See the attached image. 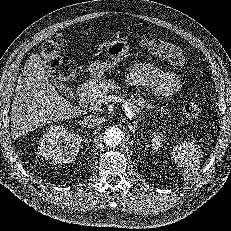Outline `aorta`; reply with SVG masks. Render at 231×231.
I'll use <instances>...</instances> for the list:
<instances>
[{
	"label": "aorta",
	"instance_id": "1",
	"mask_svg": "<svg viewBox=\"0 0 231 231\" xmlns=\"http://www.w3.org/2000/svg\"><path fill=\"white\" fill-rule=\"evenodd\" d=\"M104 143L109 147H115L124 140L123 131L117 126L108 127L103 134Z\"/></svg>",
	"mask_w": 231,
	"mask_h": 231
}]
</instances>
